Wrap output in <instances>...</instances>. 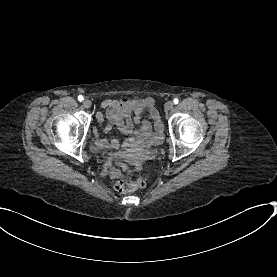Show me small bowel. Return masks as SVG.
I'll return each instance as SVG.
<instances>
[{
  "instance_id": "small-bowel-1",
  "label": "small bowel",
  "mask_w": 277,
  "mask_h": 277,
  "mask_svg": "<svg viewBox=\"0 0 277 277\" xmlns=\"http://www.w3.org/2000/svg\"><path fill=\"white\" fill-rule=\"evenodd\" d=\"M106 110L107 122L104 130L109 131L116 127L121 133L132 138L133 141L147 140L155 143L160 139L163 123L158 109L152 97L124 98L121 100H105L101 104ZM147 112L151 121L142 119L143 113ZM97 121L104 123L101 114L97 115ZM134 125H139L134 128ZM96 146L109 148L114 151L106 164V168L112 169L114 162L120 157V143L116 140L108 141L97 137ZM122 175L118 170L111 172L112 179H119Z\"/></svg>"
}]
</instances>
